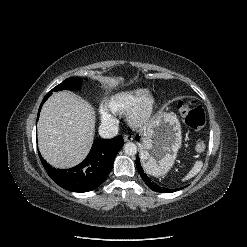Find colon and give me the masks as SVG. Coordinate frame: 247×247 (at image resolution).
Wrapping results in <instances>:
<instances>
[{"mask_svg": "<svg viewBox=\"0 0 247 247\" xmlns=\"http://www.w3.org/2000/svg\"><path fill=\"white\" fill-rule=\"evenodd\" d=\"M182 119L193 129L201 128L205 123V114L200 106H193L192 101H180L178 104ZM194 148L197 152H203L206 144L203 140H197Z\"/></svg>", "mask_w": 247, "mask_h": 247, "instance_id": "5ec220e1", "label": "colon"}]
</instances>
